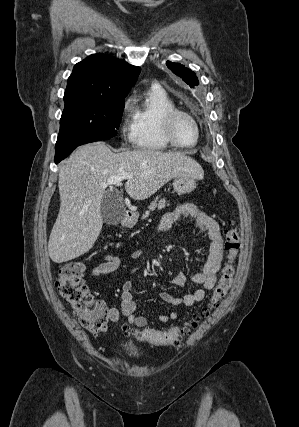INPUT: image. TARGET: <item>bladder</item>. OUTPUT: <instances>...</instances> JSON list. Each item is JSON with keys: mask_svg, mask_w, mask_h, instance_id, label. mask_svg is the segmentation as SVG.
<instances>
[{"mask_svg": "<svg viewBox=\"0 0 299 427\" xmlns=\"http://www.w3.org/2000/svg\"><path fill=\"white\" fill-rule=\"evenodd\" d=\"M126 350H127V353L130 356L135 357V356H139L140 355L139 350L134 345H129L128 344L127 347H126Z\"/></svg>", "mask_w": 299, "mask_h": 427, "instance_id": "31cf9c89", "label": "bladder"}]
</instances>
